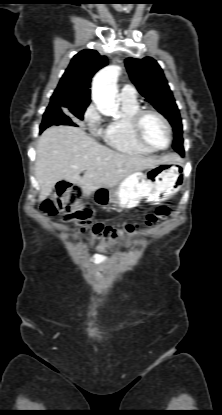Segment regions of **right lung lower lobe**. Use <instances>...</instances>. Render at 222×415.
I'll use <instances>...</instances> for the list:
<instances>
[{
    "label": "right lung lower lobe",
    "mask_w": 222,
    "mask_h": 415,
    "mask_svg": "<svg viewBox=\"0 0 222 415\" xmlns=\"http://www.w3.org/2000/svg\"><path fill=\"white\" fill-rule=\"evenodd\" d=\"M51 125H68L65 124L63 121V116L58 115L57 113L49 114L47 112L44 113L43 121L40 126V132H42L44 129ZM73 125L76 126V124L73 123Z\"/></svg>",
    "instance_id": "right-lung-lower-lobe-1"
}]
</instances>
